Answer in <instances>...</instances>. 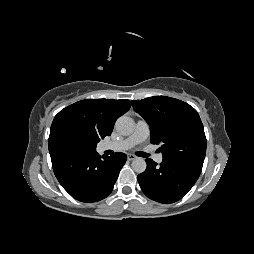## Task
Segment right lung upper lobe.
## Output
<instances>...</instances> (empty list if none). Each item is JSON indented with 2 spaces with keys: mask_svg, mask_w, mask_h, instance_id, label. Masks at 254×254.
I'll use <instances>...</instances> for the list:
<instances>
[{
  "mask_svg": "<svg viewBox=\"0 0 254 254\" xmlns=\"http://www.w3.org/2000/svg\"><path fill=\"white\" fill-rule=\"evenodd\" d=\"M130 107L127 99H87L62 109L51 125L50 155L67 150L96 152L97 143L110 136L117 118Z\"/></svg>",
  "mask_w": 254,
  "mask_h": 254,
  "instance_id": "obj_1",
  "label": "right lung upper lobe"
}]
</instances>
